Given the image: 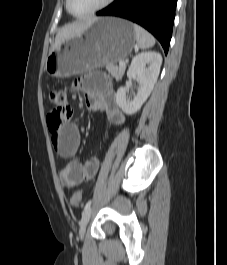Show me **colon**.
<instances>
[{
    "label": "colon",
    "instance_id": "1",
    "mask_svg": "<svg viewBox=\"0 0 227 265\" xmlns=\"http://www.w3.org/2000/svg\"><path fill=\"white\" fill-rule=\"evenodd\" d=\"M49 101L54 105V109L47 118L49 130L52 133L59 131L66 124L72 114V109L68 104L67 96L63 91H50ZM70 202L73 206L79 207L82 204V192L76 191L72 194Z\"/></svg>",
    "mask_w": 227,
    "mask_h": 265
}]
</instances>
